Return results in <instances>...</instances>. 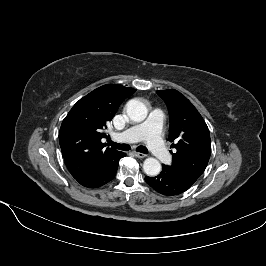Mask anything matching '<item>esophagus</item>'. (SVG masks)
<instances>
[{"label": "esophagus", "mask_w": 266, "mask_h": 266, "mask_svg": "<svg viewBox=\"0 0 266 266\" xmlns=\"http://www.w3.org/2000/svg\"><path fill=\"white\" fill-rule=\"evenodd\" d=\"M134 155H135L137 158H145V157H146L145 154L140 153V152H134Z\"/></svg>", "instance_id": "esophagus-1"}]
</instances>
